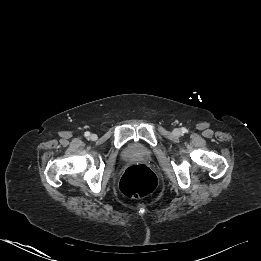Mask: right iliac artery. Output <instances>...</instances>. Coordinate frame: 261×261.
Returning a JSON list of instances; mask_svg holds the SVG:
<instances>
[{"label": "right iliac artery", "instance_id": "obj_1", "mask_svg": "<svg viewBox=\"0 0 261 261\" xmlns=\"http://www.w3.org/2000/svg\"><path fill=\"white\" fill-rule=\"evenodd\" d=\"M84 135H85V137H89L90 136V132L87 131V132L84 133Z\"/></svg>", "mask_w": 261, "mask_h": 261}]
</instances>
